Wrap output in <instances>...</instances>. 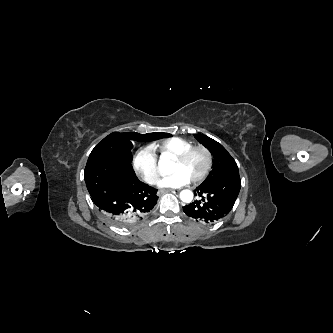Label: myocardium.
<instances>
[{"label": "myocardium", "mask_w": 333, "mask_h": 333, "mask_svg": "<svg viewBox=\"0 0 333 333\" xmlns=\"http://www.w3.org/2000/svg\"><path fill=\"white\" fill-rule=\"evenodd\" d=\"M195 151H201L206 156V165H205L204 170L202 171V173L199 176H197L196 178L191 180L194 184H198L205 180V178L209 175V173L212 169V166H213V154L209 148H207L206 146H203V145H194V146L184 150L180 154H178L174 158V161L183 163Z\"/></svg>", "instance_id": "obj_1"}]
</instances>
